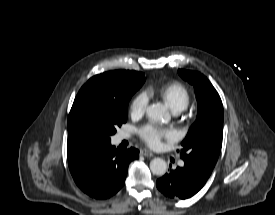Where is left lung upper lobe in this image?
<instances>
[{
	"mask_svg": "<svg viewBox=\"0 0 275 215\" xmlns=\"http://www.w3.org/2000/svg\"><path fill=\"white\" fill-rule=\"evenodd\" d=\"M194 86L198 115L180 152L184 163L212 172L220 154L223 137V105L219 94L201 73L178 70Z\"/></svg>",
	"mask_w": 275,
	"mask_h": 215,
	"instance_id": "1",
	"label": "left lung upper lobe"
}]
</instances>
